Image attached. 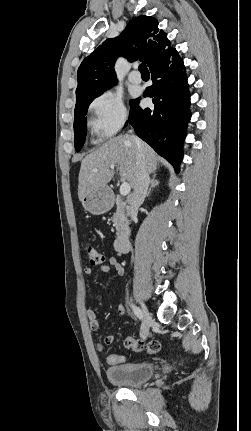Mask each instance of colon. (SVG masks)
<instances>
[{
    "instance_id": "obj_1",
    "label": "colon",
    "mask_w": 251,
    "mask_h": 431,
    "mask_svg": "<svg viewBox=\"0 0 251 431\" xmlns=\"http://www.w3.org/2000/svg\"><path fill=\"white\" fill-rule=\"evenodd\" d=\"M86 253L88 260L92 265L103 264L104 256L91 245L86 246ZM124 345L135 352L145 351L149 354L158 353L161 349V344L157 340H150L145 343L142 340L134 339L132 337L126 338ZM106 360L107 364L109 365L122 366L125 363V355H119V353H107Z\"/></svg>"
}]
</instances>
